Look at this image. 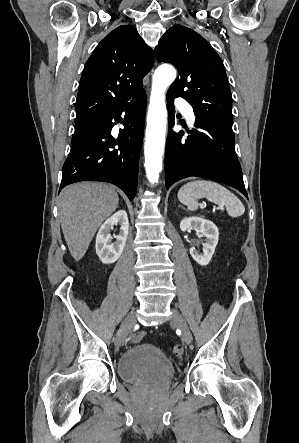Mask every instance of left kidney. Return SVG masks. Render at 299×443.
Returning a JSON list of instances; mask_svg holds the SVG:
<instances>
[{
	"label": "left kidney",
	"instance_id": "1",
	"mask_svg": "<svg viewBox=\"0 0 299 443\" xmlns=\"http://www.w3.org/2000/svg\"><path fill=\"white\" fill-rule=\"evenodd\" d=\"M180 229L183 232L194 229L196 232L205 235L203 254L199 253L194 247L190 248V254L198 264L206 266L210 262L218 244L219 231L217 226L210 220L201 217H190L184 218L180 222Z\"/></svg>",
	"mask_w": 299,
	"mask_h": 443
}]
</instances>
